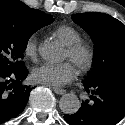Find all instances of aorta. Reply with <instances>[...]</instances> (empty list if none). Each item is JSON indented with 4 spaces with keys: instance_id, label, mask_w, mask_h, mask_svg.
Returning a JSON list of instances; mask_svg holds the SVG:
<instances>
[{
    "instance_id": "1",
    "label": "aorta",
    "mask_w": 125,
    "mask_h": 125,
    "mask_svg": "<svg viewBox=\"0 0 125 125\" xmlns=\"http://www.w3.org/2000/svg\"><path fill=\"white\" fill-rule=\"evenodd\" d=\"M40 56L48 62H58L61 60L62 51L60 46L53 41H47L39 46ZM81 104L78 97L75 94L68 93L63 95L59 101V107L65 114L76 113Z\"/></svg>"
}]
</instances>
